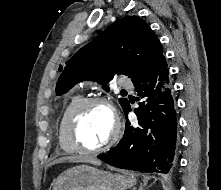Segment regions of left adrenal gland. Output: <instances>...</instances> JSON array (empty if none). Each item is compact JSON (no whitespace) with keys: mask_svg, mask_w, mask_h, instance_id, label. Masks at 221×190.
Listing matches in <instances>:
<instances>
[{"mask_svg":"<svg viewBox=\"0 0 221 190\" xmlns=\"http://www.w3.org/2000/svg\"><path fill=\"white\" fill-rule=\"evenodd\" d=\"M139 190H143V185H141V186L139 187Z\"/></svg>","mask_w":221,"mask_h":190,"instance_id":"left-adrenal-gland-1","label":"left adrenal gland"}]
</instances>
